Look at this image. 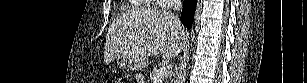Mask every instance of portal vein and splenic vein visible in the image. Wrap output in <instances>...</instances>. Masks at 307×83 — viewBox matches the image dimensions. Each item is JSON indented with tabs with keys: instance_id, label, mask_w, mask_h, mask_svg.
<instances>
[{
	"instance_id": "18ae733b",
	"label": "portal vein and splenic vein",
	"mask_w": 307,
	"mask_h": 83,
	"mask_svg": "<svg viewBox=\"0 0 307 83\" xmlns=\"http://www.w3.org/2000/svg\"><path fill=\"white\" fill-rule=\"evenodd\" d=\"M168 75V70L166 67L160 68V70L157 72L153 83H159L162 82V80Z\"/></svg>"
}]
</instances>
